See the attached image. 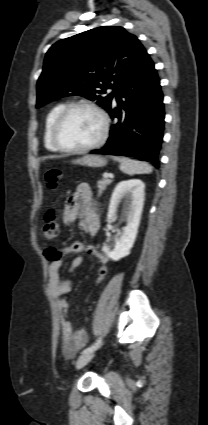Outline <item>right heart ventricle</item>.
Masks as SVG:
<instances>
[{"mask_svg": "<svg viewBox=\"0 0 208 425\" xmlns=\"http://www.w3.org/2000/svg\"><path fill=\"white\" fill-rule=\"evenodd\" d=\"M64 107L63 104L59 103L52 107V109L48 112L45 123H44V131H43V138H44V144L45 147L50 151H58V149L53 145L52 139H51V129L53 122L58 115V113L61 111V109Z\"/></svg>", "mask_w": 208, "mask_h": 425, "instance_id": "1", "label": "right heart ventricle"}]
</instances>
